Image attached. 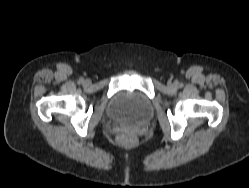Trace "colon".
<instances>
[{
	"mask_svg": "<svg viewBox=\"0 0 249 188\" xmlns=\"http://www.w3.org/2000/svg\"><path fill=\"white\" fill-rule=\"evenodd\" d=\"M119 141L123 146H130L136 142V135L132 131H123L120 135Z\"/></svg>",
	"mask_w": 249,
	"mask_h": 188,
	"instance_id": "colon-1",
	"label": "colon"
}]
</instances>
